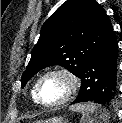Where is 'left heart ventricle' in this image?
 I'll return each instance as SVG.
<instances>
[{"label": "left heart ventricle", "mask_w": 122, "mask_h": 123, "mask_svg": "<svg viewBox=\"0 0 122 123\" xmlns=\"http://www.w3.org/2000/svg\"><path fill=\"white\" fill-rule=\"evenodd\" d=\"M68 90L67 80L59 75L47 77L41 85V98L46 103L61 99Z\"/></svg>", "instance_id": "left-heart-ventricle-1"}]
</instances>
